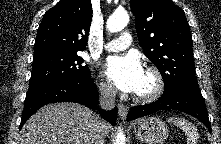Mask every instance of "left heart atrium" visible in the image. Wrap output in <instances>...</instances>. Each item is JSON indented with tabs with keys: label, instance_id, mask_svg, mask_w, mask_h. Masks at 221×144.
<instances>
[{
	"label": "left heart atrium",
	"instance_id": "1",
	"mask_svg": "<svg viewBox=\"0 0 221 144\" xmlns=\"http://www.w3.org/2000/svg\"><path fill=\"white\" fill-rule=\"evenodd\" d=\"M105 74L118 89L136 92L142 82L144 71L134 55L111 56L105 63Z\"/></svg>",
	"mask_w": 221,
	"mask_h": 144
}]
</instances>
